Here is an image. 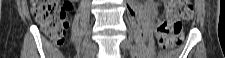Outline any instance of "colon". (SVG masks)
<instances>
[{
	"label": "colon",
	"mask_w": 225,
	"mask_h": 58,
	"mask_svg": "<svg viewBox=\"0 0 225 58\" xmlns=\"http://www.w3.org/2000/svg\"><path fill=\"white\" fill-rule=\"evenodd\" d=\"M70 4L60 0H34L32 13L45 35L54 45H61L66 36L69 20L67 13ZM191 0H168L163 18L158 22L155 37L162 49H172L182 41L183 21L191 18Z\"/></svg>",
	"instance_id": "5ec220e1"
}]
</instances>
